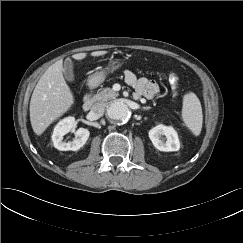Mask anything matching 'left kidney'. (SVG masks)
<instances>
[{
  "label": "left kidney",
  "instance_id": "1",
  "mask_svg": "<svg viewBox=\"0 0 243 243\" xmlns=\"http://www.w3.org/2000/svg\"><path fill=\"white\" fill-rule=\"evenodd\" d=\"M149 138L160 151H178L180 148L178 135L172 127L157 125L149 131Z\"/></svg>",
  "mask_w": 243,
  "mask_h": 243
}]
</instances>
